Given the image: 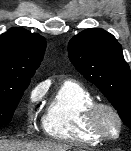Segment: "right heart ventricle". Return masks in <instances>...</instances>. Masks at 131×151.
Returning <instances> with one entry per match:
<instances>
[{
	"mask_svg": "<svg viewBox=\"0 0 131 151\" xmlns=\"http://www.w3.org/2000/svg\"><path fill=\"white\" fill-rule=\"evenodd\" d=\"M95 102L92 93L75 80H65L50 96L42 119L44 132L51 138L88 145L102 141L87 127L85 115Z\"/></svg>",
	"mask_w": 131,
	"mask_h": 151,
	"instance_id": "e07e8e85",
	"label": "right heart ventricle"
}]
</instances>
